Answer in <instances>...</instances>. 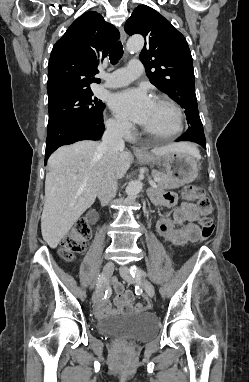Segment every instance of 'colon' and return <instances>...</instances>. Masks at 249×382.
<instances>
[{"mask_svg":"<svg viewBox=\"0 0 249 382\" xmlns=\"http://www.w3.org/2000/svg\"><path fill=\"white\" fill-rule=\"evenodd\" d=\"M183 199L188 203H194L198 206L202 217L200 219L201 233L199 240H208L214 231V222L210 214L212 212V203L205 195L203 189L196 185H188L183 188ZM91 236V226L87 220L78 221L69 234H67L60 243V254L66 261L73 260L80 254L86 241ZM136 309L142 311L145 306L141 303L136 304Z\"/></svg>","mask_w":249,"mask_h":382,"instance_id":"1","label":"colon"}]
</instances>
